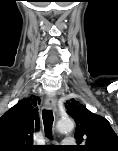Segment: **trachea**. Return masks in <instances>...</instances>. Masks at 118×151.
<instances>
[{"label": "trachea", "mask_w": 118, "mask_h": 151, "mask_svg": "<svg viewBox=\"0 0 118 151\" xmlns=\"http://www.w3.org/2000/svg\"><path fill=\"white\" fill-rule=\"evenodd\" d=\"M42 119L44 124V130L47 137H51L52 135V126H53V113L51 110H43Z\"/></svg>", "instance_id": "3493384b"}]
</instances>
